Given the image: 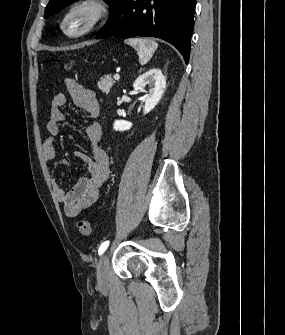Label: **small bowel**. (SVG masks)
I'll return each mask as SVG.
<instances>
[{"label":"small bowel","mask_w":285,"mask_h":335,"mask_svg":"<svg viewBox=\"0 0 285 335\" xmlns=\"http://www.w3.org/2000/svg\"><path fill=\"white\" fill-rule=\"evenodd\" d=\"M65 85L74 105L84 110L91 118L84 131L90 143L92 155L89 157L83 153H76V158L86 165V175L81 177L69 191L64 189L56 178L51 180L57 200L64 205L65 215L75 217L97 201L100 190L110 173V159L106 151L99 146L102 130L96 121L100 109L95 93L72 78L65 79ZM66 104L67 97L61 92L57 93L51 101L50 118L46 127L49 136L42 145L43 155L47 161H53L56 157L54 137L59 132V126L66 121L63 111Z\"/></svg>","instance_id":"c3829d8e"}]
</instances>
